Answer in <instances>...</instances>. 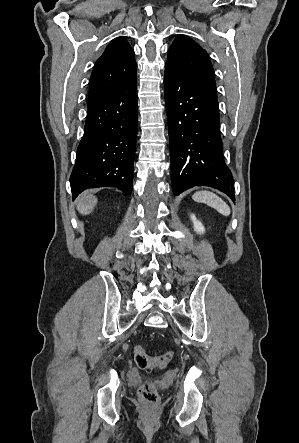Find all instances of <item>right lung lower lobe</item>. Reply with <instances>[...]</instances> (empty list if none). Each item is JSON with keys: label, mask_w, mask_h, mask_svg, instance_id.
Segmentation results:
<instances>
[{"label": "right lung lower lobe", "mask_w": 299, "mask_h": 443, "mask_svg": "<svg viewBox=\"0 0 299 443\" xmlns=\"http://www.w3.org/2000/svg\"><path fill=\"white\" fill-rule=\"evenodd\" d=\"M137 133V76L87 106L84 135L70 176L72 197L92 187L131 194Z\"/></svg>", "instance_id": "98d812e1"}]
</instances>
